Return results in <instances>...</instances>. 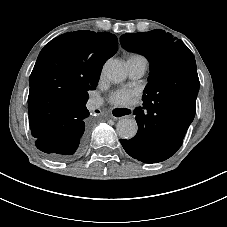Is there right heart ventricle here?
Here are the masks:
<instances>
[{
  "mask_svg": "<svg viewBox=\"0 0 227 227\" xmlns=\"http://www.w3.org/2000/svg\"><path fill=\"white\" fill-rule=\"evenodd\" d=\"M128 60L135 61V62H144V63H146L145 58L142 55H139V54H136V53L128 54Z\"/></svg>",
  "mask_w": 227,
  "mask_h": 227,
  "instance_id": "1",
  "label": "right heart ventricle"
}]
</instances>
